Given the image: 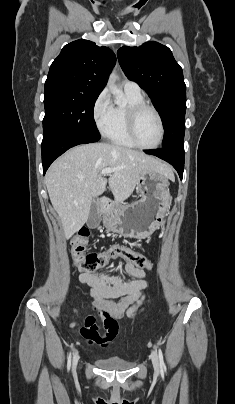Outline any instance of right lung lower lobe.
I'll return each instance as SVG.
<instances>
[{
  "instance_id": "right-lung-lower-lobe-1",
  "label": "right lung lower lobe",
  "mask_w": 235,
  "mask_h": 404,
  "mask_svg": "<svg viewBox=\"0 0 235 404\" xmlns=\"http://www.w3.org/2000/svg\"><path fill=\"white\" fill-rule=\"evenodd\" d=\"M98 140L71 129L59 130L44 135L41 145L43 173L45 174L51 163L69 148Z\"/></svg>"
}]
</instances>
